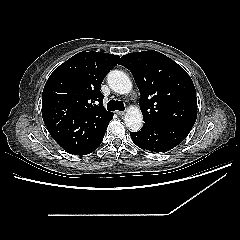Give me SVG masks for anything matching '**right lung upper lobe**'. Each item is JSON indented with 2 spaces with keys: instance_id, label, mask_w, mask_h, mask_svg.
Returning a JSON list of instances; mask_svg holds the SVG:
<instances>
[{
  "instance_id": "obj_1",
  "label": "right lung upper lobe",
  "mask_w": 240,
  "mask_h": 240,
  "mask_svg": "<svg viewBox=\"0 0 240 240\" xmlns=\"http://www.w3.org/2000/svg\"><path fill=\"white\" fill-rule=\"evenodd\" d=\"M120 56L80 52L48 78L42 93V117L52 138L78 154L94 145L113 118L103 107L101 83Z\"/></svg>"
}]
</instances>
